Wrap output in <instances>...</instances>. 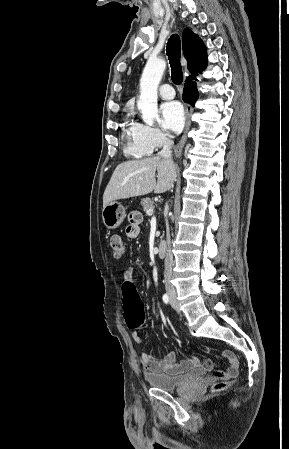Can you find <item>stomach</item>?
Returning a JSON list of instances; mask_svg holds the SVG:
<instances>
[{"label": "stomach", "mask_w": 289, "mask_h": 449, "mask_svg": "<svg viewBox=\"0 0 289 449\" xmlns=\"http://www.w3.org/2000/svg\"><path fill=\"white\" fill-rule=\"evenodd\" d=\"M126 217L125 208L117 201H112L103 207L102 219L108 229H115L121 225Z\"/></svg>", "instance_id": "stomach-1"}]
</instances>
